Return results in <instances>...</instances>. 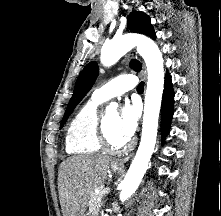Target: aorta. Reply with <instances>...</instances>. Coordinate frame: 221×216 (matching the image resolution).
Instances as JSON below:
<instances>
[{"mask_svg": "<svg viewBox=\"0 0 221 216\" xmlns=\"http://www.w3.org/2000/svg\"><path fill=\"white\" fill-rule=\"evenodd\" d=\"M136 47L145 61L148 73L147 89L142 125V137L138 151L122 183L119 198L127 200L139 187L153 154L158 128L162 95L164 90V66L162 53L156 43L138 34L116 36L104 43L101 49V63L104 66L115 64L122 56ZM116 103L106 108V113L115 110Z\"/></svg>", "mask_w": 221, "mask_h": 216, "instance_id": "aorta-1", "label": "aorta"}]
</instances>
